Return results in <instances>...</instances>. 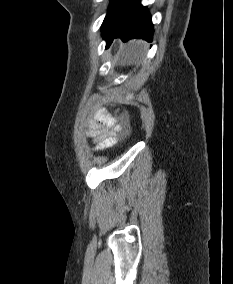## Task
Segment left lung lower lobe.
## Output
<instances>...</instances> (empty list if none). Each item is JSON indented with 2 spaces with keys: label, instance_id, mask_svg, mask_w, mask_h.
Wrapping results in <instances>:
<instances>
[{
  "label": "left lung lower lobe",
  "instance_id": "obj_1",
  "mask_svg": "<svg viewBox=\"0 0 233 284\" xmlns=\"http://www.w3.org/2000/svg\"><path fill=\"white\" fill-rule=\"evenodd\" d=\"M101 28L106 48L115 38L124 42L134 38L152 41L151 15L139 0H112Z\"/></svg>",
  "mask_w": 233,
  "mask_h": 284
}]
</instances>
